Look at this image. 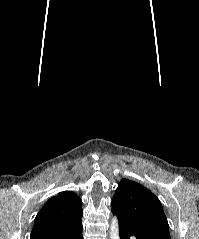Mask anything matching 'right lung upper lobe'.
I'll use <instances>...</instances> for the list:
<instances>
[{
	"label": "right lung upper lobe",
	"mask_w": 199,
	"mask_h": 239,
	"mask_svg": "<svg viewBox=\"0 0 199 239\" xmlns=\"http://www.w3.org/2000/svg\"><path fill=\"white\" fill-rule=\"evenodd\" d=\"M82 201L73 192L63 191L50 198L36 216L32 233L52 231L81 219Z\"/></svg>",
	"instance_id": "1"
}]
</instances>
